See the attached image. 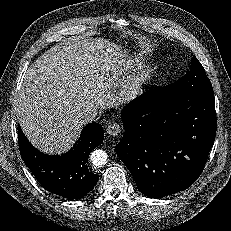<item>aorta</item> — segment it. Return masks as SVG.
<instances>
[{"instance_id": "aorta-1", "label": "aorta", "mask_w": 231, "mask_h": 231, "mask_svg": "<svg viewBox=\"0 0 231 231\" xmlns=\"http://www.w3.org/2000/svg\"><path fill=\"white\" fill-rule=\"evenodd\" d=\"M107 153L102 149L94 150L90 154V161L96 167H102L107 162Z\"/></svg>"}]
</instances>
